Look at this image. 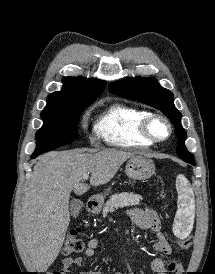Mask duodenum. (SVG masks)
<instances>
[{
	"instance_id": "1",
	"label": "duodenum",
	"mask_w": 215,
	"mask_h": 274,
	"mask_svg": "<svg viewBox=\"0 0 215 274\" xmlns=\"http://www.w3.org/2000/svg\"><path fill=\"white\" fill-rule=\"evenodd\" d=\"M98 203L94 198L89 199L87 203V209L89 212L93 213L97 209Z\"/></svg>"
}]
</instances>
